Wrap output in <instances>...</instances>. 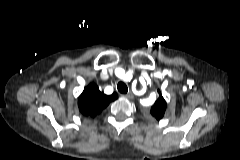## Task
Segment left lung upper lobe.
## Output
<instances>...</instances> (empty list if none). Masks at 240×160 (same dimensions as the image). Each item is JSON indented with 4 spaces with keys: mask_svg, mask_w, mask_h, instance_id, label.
<instances>
[{
    "mask_svg": "<svg viewBox=\"0 0 240 160\" xmlns=\"http://www.w3.org/2000/svg\"><path fill=\"white\" fill-rule=\"evenodd\" d=\"M165 110H166V102L162 97V95L160 94V97L157 99V101L151 108V114L157 120H160L164 116Z\"/></svg>",
    "mask_w": 240,
    "mask_h": 160,
    "instance_id": "1",
    "label": "left lung upper lobe"
}]
</instances>
